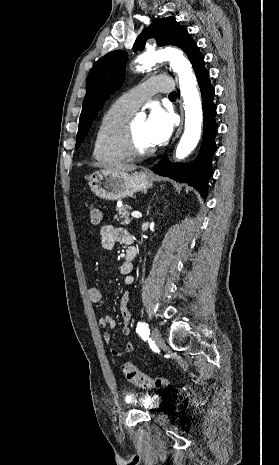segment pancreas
I'll use <instances>...</instances> for the list:
<instances>
[{"mask_svg": "<svg viewBox=\"0 0 279 465\" xmlns=\"http://www.w3.org/2000/svg\"><path fill=\"white\" fill-rule=\"evenodd\" d=\"M131 209L130 206L128 205H123L122 207H117L116 210L118 212L117 215H115V219L117 221H121V224L123 225H128L130 223L129 219V210Z\"/></svg>", "mask_w": 279, "mask_h": 465, "instance_id": "obj_1", "label": "pancreas"}]
</instances>
